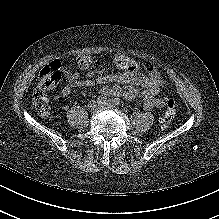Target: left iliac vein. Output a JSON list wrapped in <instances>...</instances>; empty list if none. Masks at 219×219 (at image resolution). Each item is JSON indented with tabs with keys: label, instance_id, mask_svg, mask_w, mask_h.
<instances>
[{
	"label": "left iliac vein",
	"instance_id": "4c4485c4",
	"mask_svg": "<svg viewBox=\"0 0 219 219\" xmlns=\"http://www.w3.org/2000/svg\"><path fill=\"white\" fill-rule=\"evenodd\" d=\"M101 106L104 108H114L115 107V105L109 100L104 102Z\"/></svg>",
	"mask_w": 219,
	"mask_h": 219
}]
</instances>
